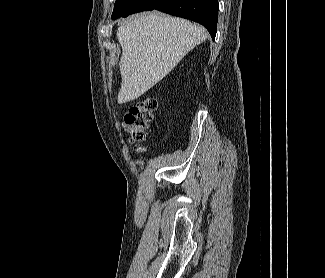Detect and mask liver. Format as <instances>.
Returning <instances> with one entry per match:
<instances>
[{"instance_id":"6515ba94","label":"liver","mask_w":325,"mask_h":278,"mask_svg":"<svg viewBox=\"0 0 325 278\" xmlns=\"http://www.w3.org/2000/svg\"><path fill=\"white\" fill-rule=\"evenodd\" d=\"M122 47L119 104L133 101L169 74L207 38L202 26L157 12L128 19L117 30Z\"/></svg>"}]
</instances>
